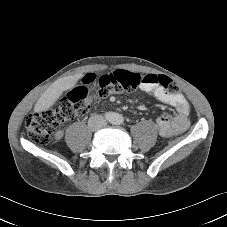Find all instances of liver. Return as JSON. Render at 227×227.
I'll return each mask as SVG.
<instances>
[{
  "instance_id": "liver-1",
  "label": "liver",
  "mask_w": 227,
  "mask_h": 227,
  "mask_svg": "<svg viewBox=\"0 0 227 227\" xmlns=\"http://www.w3.org/2000/svg\"><path fill=\"white\" fill-rule=\"evenodd\" d=\"M83 77V74H76L67 77L60 78L53 82L50 87L41 95L37 100L34 111L42 112L52 107L64 91L73 88L79 79Z\"/></svg>"
}]
</instances>
